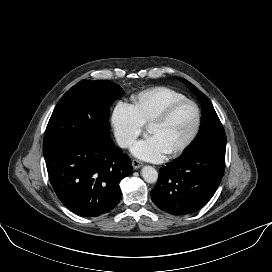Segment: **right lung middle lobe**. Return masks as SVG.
Returning <instances> with one entry per match:
<instances>
[{
    "label": "right lung middle lobe",
    "instance_id": "dd1d6c3e",
    "mask_svg": "<svg viewBox=\"0 0 272 272\" xmlns=\"http://www.w3.org/2000/svg\"><path fill=\"white\" fill-rule=\"evenodd\" d=\"M123 93L119 85L109 80H82L71 87L51 115L44 134L43 151L76 136L110 140L109 109Z\"/></svg>",
    "mask_w": 272,
    "mask_h": 272
}]
</instances>
